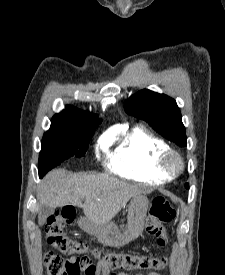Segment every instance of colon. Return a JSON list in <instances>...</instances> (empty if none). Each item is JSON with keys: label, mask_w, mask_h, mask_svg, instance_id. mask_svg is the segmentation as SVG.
<instances>
[{"label": "colon", "mask_w": 225, "mask_h": 275, "mask_svg": "<svg viewBox=\"0 0 225 275\" xmlns=\"http://www.w3.org/2000/svg\"><path fill=\"white\" fill-rule=\"evenodd\" d=\"M174 206L162 197L152 201L150 214L146 222V231L157 238L159 246L168 244V235L165 225L176 217ZM75 217L72 208H63L59 213L49 217L46 225V239L49 245L67 254H84L88 251V244L81 240L72 239L65 233V228ZM94 256L110 269L127 271H158L168 265V258L139 256L124 252H103L98 249L93 251ZM45 266L48 275H90L92 265L84 259L71 261L66 257L49 252L45 256Z\"/></svg>", "instance_id": "obj_1"}]
</instances>
